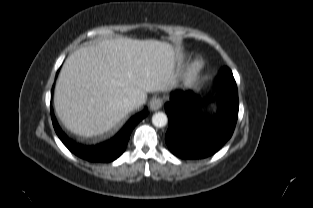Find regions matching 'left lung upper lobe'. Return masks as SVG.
Returning a JSON list of instances; mask_svg holds the SVG:
<instances>
[{"instance_id": "1", "label": "left lung upper lobe", "mask_w": 313, "mask_h": 208, "mask_svg": "<svg viewBox=\"0 0 313 208\" xmlns=\"http://www.w3.org/2000/svg\"><path fill=\"white\" fill-rule=\"evenodd\" d=\"M218 80H234L232 71L228 67H224L221 71L218 77L216 78Z\"/></svg>"}]
</instances>
